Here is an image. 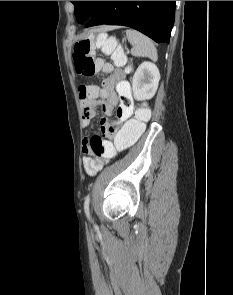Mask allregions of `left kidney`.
Instances as JSON below:
<instances>
[{
    "label": "left kidney",
    "instance_id": "left-kidney-1",
    "mask_svg": "<svg viewBox=\"0 0 233 295\" xmlns=\"http://www.w3.org/2000/svg\"><path fill=\"white\" fill-rule=\"evenodd\" d=\"M160 80V72L152 62H143L132 79L133 96L137 101L149 100L155 95Z\"/></svg>",
    "mask_w": 233,
    "mask_h": 295
}]
</instances>
